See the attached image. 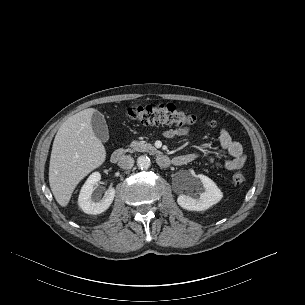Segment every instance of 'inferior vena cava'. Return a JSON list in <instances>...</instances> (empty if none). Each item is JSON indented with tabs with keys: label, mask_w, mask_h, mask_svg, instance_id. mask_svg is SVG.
<instances>
[{
	"label": "inferior vena cava",
	"mask_w": 305,
	"mask_h": 305,
	"mask_svg": "<svg viewBox=\"0 0 305 305\" xmlns=\"http://www.w3.org/2000/svg\"><path fill=\"white\" fill-rule=\"evenodd\" d=\"M118 165L122 169H131L133 167V165H134V159H133V157H131L129 155H124L119 160Z\"/></svg>",
	"instance_id": "602c4592"
}]
</instances>
